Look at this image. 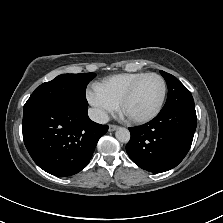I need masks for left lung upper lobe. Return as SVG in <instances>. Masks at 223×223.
I'll return each mask as SVG.
<instances>
[{
    "mask_svg": "<svg viewBox=\"0 0 223 223\" xmlns=\"http://www.w3.org/2000/svg\"><path fill=\"white\" fill-rule=\"evenodd\" d=\"M168 85L167 101L161 111L174 108H195L190 91L173 75L160 71Z\"/></svg>",
    "mask_w": 223,
    "mask_h": 223,
    "instance_id": "obj_1",
    "label": "left lung upper lobe"
}]
</instances>
